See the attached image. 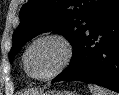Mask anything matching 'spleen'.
Returning <instances> with one entry per match:
<instances>
[{"instance_id":"spleen-1","label":"spleen","mask_w":119,"mask_h":95,"mask_svg":"<svg viewBox=\"0 0 119 95\" xmlns=\"http://www.w3.org/2000/svg\"><path fill=\"white\" fill-rule=\"evenodd\" d=\"M88 88L90 89L92 95H119L113 91L107 90L97 85L89 84Z\"/></svg>"}]
</instances>
